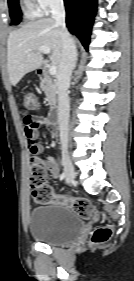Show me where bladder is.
I'll return each instance as SVG.
<instances>
[{
	"label": "bladder",
	"instance_id": "obj_1",
	"mask_svg": "<svg viewBox=\"0 0 134 281\" xmlns=\"http://www.w3.org/2000/svg\"><path fill=\"white\" fill-rule=\"evenodd\" d=\"M84 228V219L65 205H42L30 212V235L41 243H69L79 237Z\"/></svg>",
	"mask_w": 134,
	"mask_h": 281
}]
</instances>
